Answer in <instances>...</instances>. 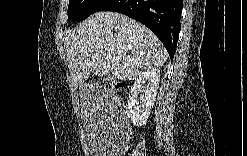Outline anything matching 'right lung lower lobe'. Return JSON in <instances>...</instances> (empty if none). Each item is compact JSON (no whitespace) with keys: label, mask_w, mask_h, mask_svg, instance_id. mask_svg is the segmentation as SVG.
I'll return each instance as SVG.
<instances>
[{"label":"right lung lower lobe","mask_w":247,"mask_h":156,"mask_svg":"<svg viewBox=\"0 0 247 156\" xmlns=\"http://www.w3.org/2000/svg\"><path fill=\"white\" fill-rule=\"evenodd\" d=\"M183 8L181 0H107L99 11L125 14L146 25L174 57Z\"/></svg>","instance_id":"1"}]
</instances>
